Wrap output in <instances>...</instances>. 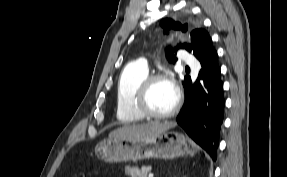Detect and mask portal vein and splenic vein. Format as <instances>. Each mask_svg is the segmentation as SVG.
Instances as JSON below:
<instances>
[{
	"instance_id": "portal-vein-and-splenic-vein-1",
	"label": "portal vein and splenic vein",
	"mask_w": 287,
	"mask_h": 177,
	"mask_svg": "<svg viewBox=\"0 0 287 177\" xmlns=\"http://www.w3.org/2000/svg\"><path fill=\"white\" fill-rule=\"evenodd\" d=\"M148 177H153V174L149 173Z\"/></svg>"
}]
</instances>
